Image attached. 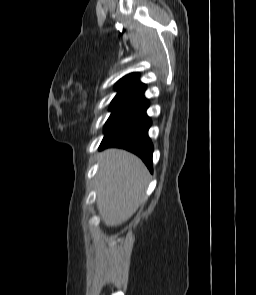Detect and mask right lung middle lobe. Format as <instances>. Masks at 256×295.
Wrapping results in <instances>:
<instances>
[{"instance_id": "obj_1", "label": "right lung middle lobe", "mask_w": 256, "mask_h": 295, "mask_svg": "<svg viewBox=\"0 0 256 295\" xmlns=\"http://www.w3.org/2000/svg\"><path fill=\"white\" fill-rule=\"evenodd\" d=\"M130 100L112 101L110 110L112 111L109 119L107 120L105 127L108 126L129 104Z\"/></svg>"}]
</instances>
